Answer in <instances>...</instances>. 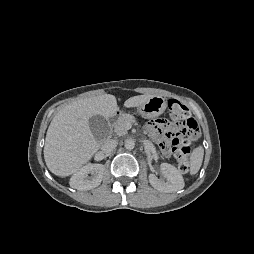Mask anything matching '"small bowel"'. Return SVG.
Wrapping results in <instances>:
<instances>
[{
    "label": "small bowel",
    "mask_w": 254,
    "mask_h": 254,
    "mask_svg": "<svg viewBox=\"0 0 254 254\" xmlns=\"http://www.w3.org/2000/svg\"><path fill=\"white\" fill-rule=\"evenodd\" d=\"M147 128L150 131L153 139L161 146L164 155L169 156L170 150L167 144L168 140L165 137L164 133L165 131L173 130L175 126L166 123L165 120L157 119L150 122L147 125Z\"/></svg>",
    "instance_id": "small-bowel-1"
}]
</instances>
